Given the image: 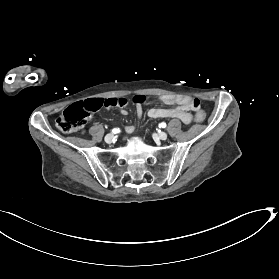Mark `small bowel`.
I'll list each match as a JSON object with an SVG mask.
<instances>
[{"instance_id": "1", "label": "small bowel", "mask_w": 279, "mask_h": 279, "mask_svg": "<svg viewBox=\"0 0 279 279\" xmlns=\"http://www.w3.org/2000/svg\"><path fill=\"white\" fill-rule=\"evenodd\" d=\"M160 101L166 105H176L170 108H152L149 110L148 115L151 118H178L184 124H189L192 120V115L190 113V108L187 107L179 98H175L169 95H163L160 98ZM122 115H127L125 109L121 110ZM138 118L142 117V108L137 107ZM135 127L134 125H128L125 127L124 131L127 135L133 133Z\"/></svg>"}]
</instances>
